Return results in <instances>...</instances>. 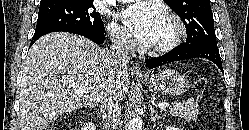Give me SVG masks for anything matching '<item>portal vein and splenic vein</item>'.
<instances>
[{
	"instance_id": "1",
	"label": "portal vein and splenic vein",
	"mask_w": 249,
	"mask_h": 130,
	"mask_svg": "<svg viewBox=\"0 0 249 130\" xmlns=\"http://www.w3.org/2000/svg\"><path fill=\"white\" fill-rule=\"evenodd\" d=\"M84 89H85V88H84ZM79 92H81V93L83 92V88H82V87L79 88ZM157 106H158V108L161 109V110L170 107V105H169L168 103H159Z\"/></svg>"
}]
</instances>
